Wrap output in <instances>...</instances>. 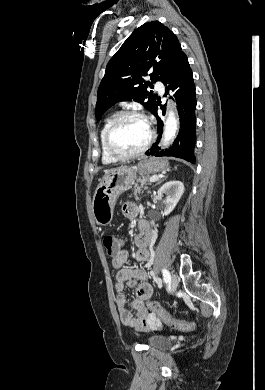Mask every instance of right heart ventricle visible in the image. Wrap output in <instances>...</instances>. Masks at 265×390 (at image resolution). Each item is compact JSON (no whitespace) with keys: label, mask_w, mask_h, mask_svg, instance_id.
<instances>
[{"label":"right heart ventricle","mask_w":265,"mask_h":390,"mask_svg":"<svg viewBox=\"0 0 265 390\" xmlns=\"http://www.w3.org/2000/svg\"><path fill=\"white\" fill-rule=\"evenodd\" d=\"M116 116H117L116 113H111L110 115H108L104 120L102 129L100 131L101 160L104 164H112L118 161L117 159H115L113 156L109 154L105 145L106 132Z\"/></svg>","instance_id":"1"}]
</instances>
